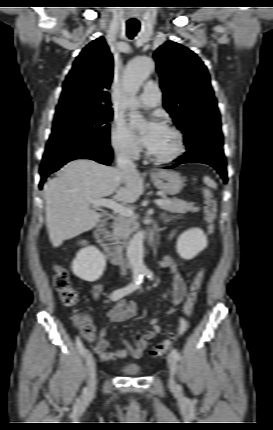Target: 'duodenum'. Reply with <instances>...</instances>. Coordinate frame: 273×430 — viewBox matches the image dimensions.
Returning <instances> with one entry per match:
<instances>
[{
    "mask_svg": "<svg viewBox=\"0 0 273 430\" xmlns=\"http://www.w3.org/2000/svg\"><path fill=\"white\" fill-rule=\"evenodd\" d=\"M96 239L114 264H120L122 262L121 250L110 237L105 220H103L96 229Z\"/></svg>",
    "mask_w": 273,
    "mask_h": 430,
    "instance_id": "duodenum-1",
    "label": "duodenum"
}]
</instances>
